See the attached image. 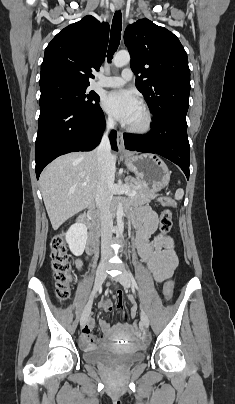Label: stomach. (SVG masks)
Instances as JSON below:
<instances>
[{"label":"stomach","instance_id":"1","mask_svg":"<svg viewBox=\"0 0 235 404\" xmlns=\"http://www.w3.org/2000/svg\"><path fill=\"white\" fill-rule=\"evenodd\" d=\"M127 168L138 180L144 181L155 193L163 189L170 180V172L165 162L155 154H129L125 157Z\"/></svg>","mask_w":235,"mask_h":404}]
</instances>
